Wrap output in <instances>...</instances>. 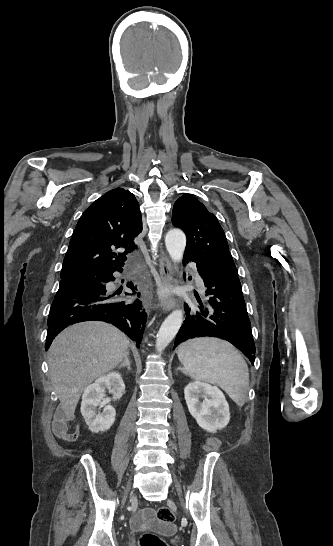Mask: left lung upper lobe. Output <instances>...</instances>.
<instances>
[{
  "mask_svg": "<svg viewBox=\"0 0 333 546\" xmlns=\"http://www.w3.org/2000/svg\"><path fill=\"white\" fill-rule=\"evenodd\" d=\"M172 223L187 236L185 253H191L218 273H237L226 236L217 218L190 194L174 204Z\"/></svg>",
  "mask_w": 333,
  "mask_h": 546,
  "instance_id": "left-lung-upper-lobe-1",
  "label": "left lung upper lobe"
}]
</instances>
